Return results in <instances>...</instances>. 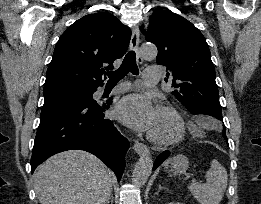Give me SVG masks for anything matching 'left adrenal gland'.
Masks as SVG:
<instances>
[{"label":"left adrenal gland","mask_w":261,"mask_h":204,"mask_svg":"<svg viewBox=\"0 0 261 204\" xmlns=\"http://www.w3.org/2000/svg\"><path fill=\"white\" fill-rule=\"evenodd\" d=\"M165 190V189H167L166 187H162L161 185H159V189H158V191H157V194L161 191V190Z\"/></svg>","instance_id":"a2214340"}]
</instances>
